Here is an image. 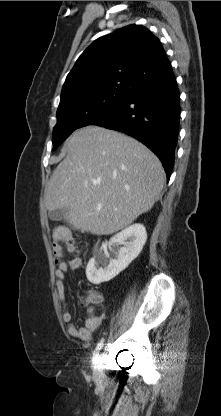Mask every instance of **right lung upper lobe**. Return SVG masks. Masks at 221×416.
I'll list each match as a JSON object with an SVG mask.
<instances>
[{
  "instance_id": "right-lung-upper-lobe-1",
  "label": "right lung upper lobe",
  "mask_w": 221,
  "mask_h": 416,
  "mask_svg": "<svg viewBox=\"0 0 221 416\" xmlns=\"http://www.w3.org/2000/svg\"><path fill=\"white\" fill-rule=\"evenodd\" d=\"M170 62L160 41L140 25L95 40L77 59L63 85L60 105L108 88L131 89L165 79Z\"/></svg>"
}]
</instances>
